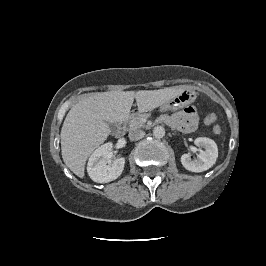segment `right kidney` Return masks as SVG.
<instances>
[{
    "label": "right kidney",
    "mask_w": 266,
    "mask_h": 266,
    "mask_svg": "<svg viewBox=\"0 0 266 266\" xmlns=\"http://www.w3.org/2000/svg\"><path fill=\"white\" fill-rule=\"evenodd\" d=\"M112 143L98 147L90 156L87 172L90 178L97 183H107L117 179L123 172L125 159H109Z\"/></svg>",
    "instance_id": "right-kidney-1"
}]
</instances>
